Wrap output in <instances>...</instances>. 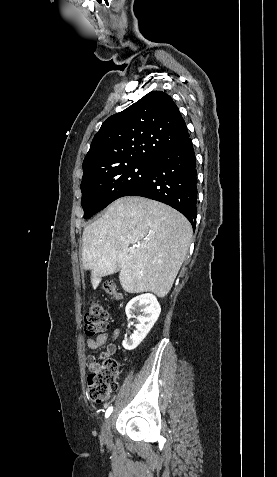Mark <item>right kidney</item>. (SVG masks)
<instances>
[{
  "instance_id": "ca27d5eb",
  "label": "right kidney",
  "mask_w": 277,
  "mask_h": 477,
  "mask_svg": "<svg viewBox=\"0 0 277 477\" xmlns=\"http://www.w3.org/2000/svg\"><path fill=\"white\" fill-rule=\"evenodd\" d=\"M125 311L128 320L136 318L138 321V324L135 325L136 330L134 333L129 338L126 336L122 342V345L126 350H133L147 336L157 321L161 312V307L157 298L154 295L147 293L136 296L130 300ZM135 312L140 314L136 317L134 315ZM129 324L133 325V322H129Z\"/></svg>"
}]
</instances>
